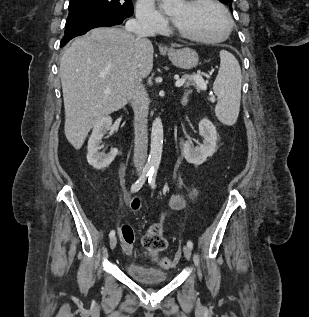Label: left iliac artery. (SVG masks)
<instances>
[{
	"instance_id": "1",
	"label": "left iliac artery",
	"mask_w": 309,
	"mask_h": 317,
	"mask_svg": "<svg viewBox=\"0 0 309 317\" xmlns=\"http://www.w3.org/2000/svg\"><path fill=\"white\" fill-rule=\"evenodd\" d=\"M157 170H158V165H155L154 167H153V170H152V172H151V174L149 175V184H150V186L152 187V188H155L156 187V183H155V181H156V176H157ZM187 245L192 249L193 248V243L190 241V240H188L187 241Z\"/></svg>"
}]
</instances>
